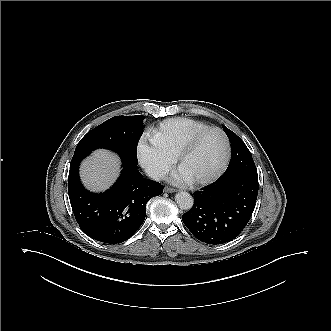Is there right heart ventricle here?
Listing matches in <instances>:
<instances>
[{"instance_id":"e07e8e85","label":"right heart ventricle","mask_w":331,"mask_h":331,"mask_svg":"<svg viewBox=\"0 0 331 331\" xmlns=\"http://www.w3.org/2000/svg\"><path fill=\"white\" fill-rule=\"evenodd\" d=\"M208 128L210 126L202 121L175 117L163 121L151 140L157 149L175 156L191 137Z\"/></svg>"}]
</instances>
